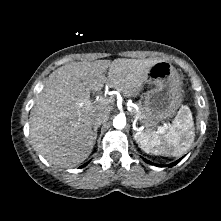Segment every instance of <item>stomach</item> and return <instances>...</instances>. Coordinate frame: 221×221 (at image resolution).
Instances as JSON below:
<instances>
[{
    "label": "stomach",
    "instance_id": "obj_1",
    "mask_svg": "<svg viewBox=\"0 0 221 221\" xmlns=\"http://www.w3.org/2000/svg\"><path fill=\"white\" fill-rule=\"evenodd\" d=\"M145 83L151 89L145 95L143 124L155 127L171 118L181 103V79L177 70L168 61H158L149 70Z\"/></svg>",
    "mask_w": 221,
    "mask_h": 221
}]
</instances>
